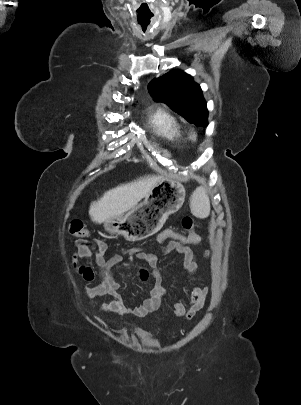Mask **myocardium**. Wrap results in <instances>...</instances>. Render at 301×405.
Masks as SVG:
<instances>
[{
	"instance_id": "myocardium-1",
	"label": "myocardium",
	"mask_w": 301,
	"mask_h": 405,
	"mask_svg": "<svg viewBox=\"0 0 301 405\" xmlns=\"http://www.w3.org/2000/svg\"><path fill=\"white\" fill-rule=\"evenodd\" d=\"M189 136H190V138L192 140H195L196 137H197V134H196V132L194 130H191L190 133H189Z\"/></svg>"
}]
</instances>
